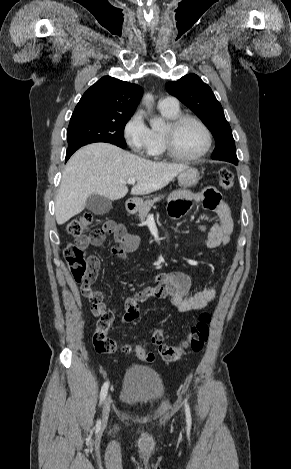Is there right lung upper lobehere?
Masks as SVG:
<instances>
[{
    "mask_svg": "<svg viewBox=\"0 0 291 469\" xmlns=\"http://www.w3.org/2000/svg\"><path fill=\"white\" fill-rule=\"evenodd\" d=\"M142 94L139 85L104 76L83 94L73 113L132 116Z\"/></svg>",
    "mask_w": 291,
    "mask_h": 469,
    "instance_id": "right-lung-upper-lobe-1",
    "label": "right lung upper lobe"
}]
</instances>
